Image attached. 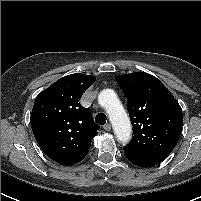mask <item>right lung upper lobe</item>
I'll use <instances>...</instances> for the list:
<instances>
[{"label": "right lung upper lobe", "instance_id": "right-lung-upper-lobe-1", "mask_svg": "<svg viewBox=\"0 0 201 201\" xmlns=\"http://www.w3.org/2000/svg\"><path fill=\"white\" fill-rule=\"evenodd\" d=\"M95 80L91 75L71 74L35 99L31 114L33 134L44 153L59 164L72 165L83 160L97 135L99 126L89 109L79 103Z\"/></svg>", "mask_w": 201, "mask_h": 201}]
</instances>
